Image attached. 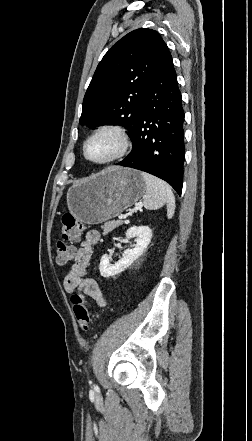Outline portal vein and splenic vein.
Masks as SVG:
<instances>
[{"label": "portal vein and splenic vein", "mask_w": 252, "mask_h": 441, "mask_svg": "<svg viewBox=\"0 0 252 441\" xmlns=\"http://www.w3.org/2000/svg\"><path fill=\"white\" fill-rule=\"evenodd\" d=\"M126 218V215H121V216H119V219L120 220H123V219H125Z\"/></svg>", "instance_id": "18ae733b"}]
</instances>
